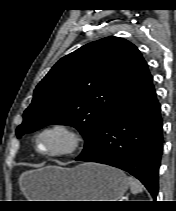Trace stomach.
<instances>
[{"label":"stomach","mask_w":176,"mask_h":211,"mask_svg":"<svg viewBox=\"0 0 176 211\" xmlns=\"http://www.w3.org/2000/svg\"><path fill=\"white\" fill-rule=\"evenodd\" d=\"M20 183L30 201H118L129 186L121 170L96 163L46 166L25 173Z\"/></svg>","instance_id":"stomach-1"}]
</instances>
